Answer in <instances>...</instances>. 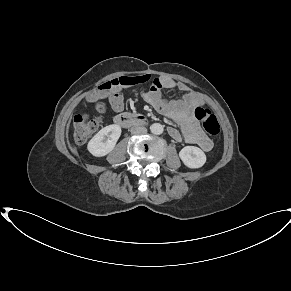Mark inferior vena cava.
<instances>
[{
  "label": "inferior vena cava",
  "mask_w": 291,
  "mask_h": 291,
  "mask_svg": "<svg viewBox=\"0 0 291 291\" xmlns=\"http://www.w3.org/2000/svg\"><path fill=\"white\" fill-rule=\"evenodd\" d=\"M130 131L132 134H143L147 132V129L143 126H133Z\"/></svg>",
  "instance_id": "1"
}]
</instances>
